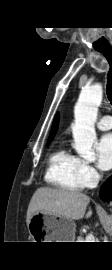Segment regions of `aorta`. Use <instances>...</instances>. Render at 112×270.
<instances>
[{
    "mask_svg": "<svg viewBox=\"0 0 112 270\" xmlns=\"http://www.w3.org/2000/svg\"><path fill=\"white\" fill-rule=\"evenodd\" d=\"M102 95L101 84L86 87L81 91L74 109L73 147L80 157L88 161L96 160L95 152L92 149L96 140L94 124L97 120L98 106L101 103Z\"/></svg>",
    "mask_w": 112,
    "mask_h": 270,
    "instance_id": "obj_1",
    "label": "aorta"
}]
</instances>
